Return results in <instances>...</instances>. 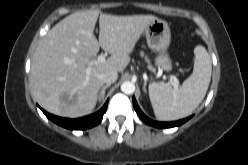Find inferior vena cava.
I'll return each instance as SVG.
<instances>
[{
	"label": "inferior vena cava",
	"instance_id": "1",
	"mask_svg": "<svg viewBox=\"0 0 248 165\" xmlns=\"http://www.w3.org/2000/svg\"><path fill=\"white\" fill-rule=\"evenodd\" d=\"M118 78V74L116 71H108V72H105L103 75H102V81L106 84H111V83H114Z\"/></svg>",
	"mask_w": 248,
	"mask_h": 165
}]
</instances>
